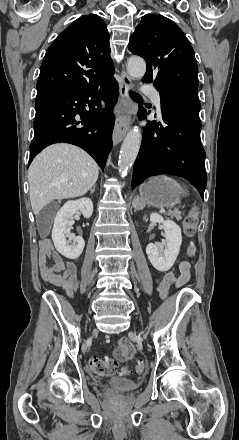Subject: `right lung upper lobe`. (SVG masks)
Masks as SVG:
<instances>
[{"label": "right lung upper lobe", "mask_w": 239, "mask_h": 440, "mask_svg": "<svg viewBox=\"0 0 239 440\" xmlns=\"http://www.w3.org/2000/svg\"><path fill=\"white\" fill-rule=\"evenodd\" d=\"M109 38L106 24L98 15L74 21L46 51L37 93L84 88L112 76Z\"/></svg>", "instance_id": "cb5924a9"}]
</instances>
